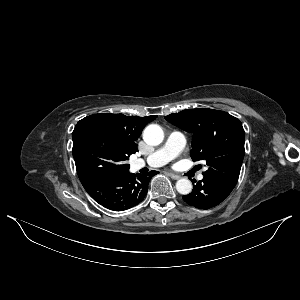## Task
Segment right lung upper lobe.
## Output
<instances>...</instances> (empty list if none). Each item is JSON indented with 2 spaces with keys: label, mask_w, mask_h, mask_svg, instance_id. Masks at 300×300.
<instances>
[{
  "label": "right lung upper lobe",
  "mask_w": 300,
  "mask_h": 300,
  "mask_svg": "<svg viewBox=\"0 0 300 300\" xmlns=\"http://www.w3.org/2000/svg\"><path fill=\"white\" fill-rule=\"evenodd\" d=\"M98 120L127 151L129 155L138 151L135 141L139 138L144 126L157 116H125L123 114H95L89 116Z\"/></svg>",
  "instance_id": "cb5924a9"
}]
</instances>
